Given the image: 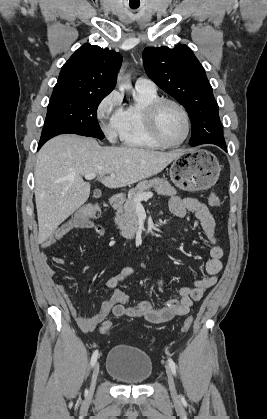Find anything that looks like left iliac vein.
<instances>
[{"label":"left iliac vein","instance_id":"left-iliac-vein-1","mask_svg":"<svg viewBox=\"0 0 267 419\" xmlns=\"http://www.w3.org/2000/svg\"><path fill=\"white\" fill-rule=\"evenodd\" d=\"M166 373H167L168 386H169L170 393H171L172 397L176 398L177 397V391H176L175 382H174L172 372L170 371L169 368H167Z\"/></svg>","mask_w":267,"mask_h":419}]
</instances>
